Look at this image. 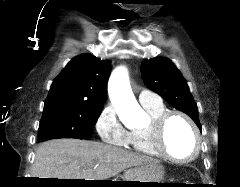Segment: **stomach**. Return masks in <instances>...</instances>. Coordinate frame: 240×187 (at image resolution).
Masks as SVG:
<instances>
[{
    "label": "stomach",
    "instance_id": "obj_1",
    "mask_svg": "<svg viewBox=\"0 0 240 187\" xmlns=\"http://www.w3.org/2000/svg\"><path fill=\"white\" fill-rule=\"evenodd\" d=\"M164 178V168L156 163L150 162L144 164L138 168L133 170H128L124 174L123 181H131V182H157V183H131L126 182V185L130 184H141L138 186H146V187H155L158 186V183H163Z\"/></svg>",
    "mask_w": 240,
    "mask_h": 187
}]
</instances>
